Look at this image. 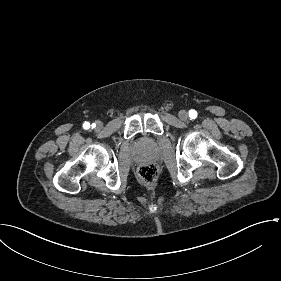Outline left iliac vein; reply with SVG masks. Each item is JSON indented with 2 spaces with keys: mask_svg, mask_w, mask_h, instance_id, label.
I'll list each match as a JSON object with an SVG mask.
<instances>
[{
  "mask_svg": "<svg viewBox=\"0 0 281 281\" xmlns=\"http://www.w3.org/2000/svg\"><path fill=\"white\" fill-rule=\"evenodd\" d=\"M179 118L182 120V121H187L188 118H189V115L188 113L185 111V110H181L178 114Z\"/></svg>",
  "mask_w": 281,
  "mask_h": 281,
  "instance_id": "left-iliac-vein-1",
  "label": "left iliac vein"
}]
</instances>
